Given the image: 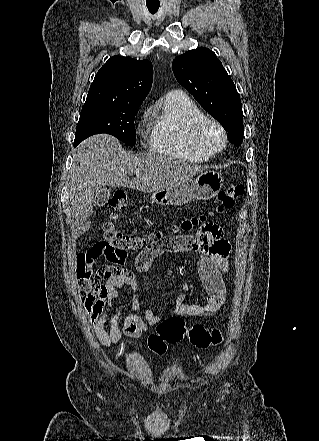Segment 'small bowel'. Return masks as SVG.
<instances>
[{"label": "small bowel", "instance_id": "1", "mask_svg": "<svg viewBox=\"0 0 319 441\" xmlns=\"http://www.w3.org/2000/svg\"><path fill=\"white\" fill-rule=\"evenodd\" d=\"M181 252H196L199 255L198 274L207 298L204 304H192L186 302L185 294H180L175 301L174 314L181 317H198L214 314L223 306L226 287L222 273H230L231 246L224 238L223 229L215 223H208L200 228L197 236L167 237L145 247L135 258L134 270L113 263L102 265L92 271V283L87 289L80 287V296L94 334L103 346L115 345L123 337L138 339L148 330V325H155L163 320L134 295L131 309L142 311L144 318L135 313L130 314L124 319L123 327L120 329L121 311L116 307L109 318V329H105L108 313L121 296V290L129 288L135 291L138 273L147 272L154 261L164 254L174 256ZM102 254L103 247L98 243L88 251L77 255V265L90 266L93 260ZM181 286L185 292L191 289L187 281Z\"/></svg>", "mask_w": 319, "mask_h": 441}]
</instances>
